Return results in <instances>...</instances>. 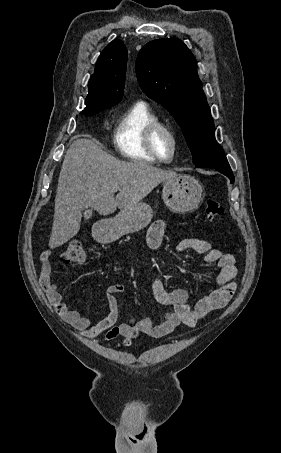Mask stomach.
<instances>
[{
    "mask_svg": "<svg viewBox=\"0 0 281 453\" xmlns=\"http://www.w3.org/2000/svg\"><path fill=\"white\" fill-rule=\"evenodd\" d=\"M162 198L172 212H193L198 208L204 198V188L195 176L190 174H180L176 178L164 180ZM152 208L146 202H137L135 206L121 208V212L114 218H107L93 235L99 239L100 243H112L122 235L138 233L145 229L152 218Z\"/></svg>",
    "mask_w": 281,
    "mask_h": 453,
    "instance_id": "1",
    "label": "stomach"
}]
</instances>
